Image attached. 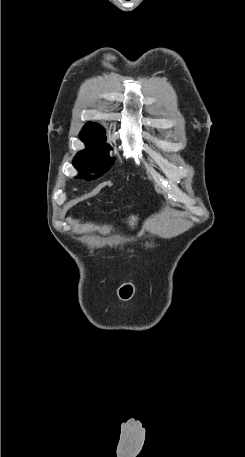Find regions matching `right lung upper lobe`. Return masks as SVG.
Listing matches in <instances>:
<instances>
[{
    "mask_svg": "<svg viewBox=\"0 0 245 457\" xmlns=\"http://www.w3.org/2000/svg\"><path fill=\"white\" fill-rule=\"evenodd\" d=\"M85 126L103 128L99 124L94 123V122H88Z\"/></svg>",
    "mask_w": 245,
    "mask_h": 457,
    "instance_id": "cb5924a9",
    "label": "right lung upper lobe"
}]
</instances>
